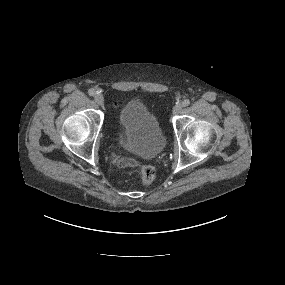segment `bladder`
<instances>
[{"mask_svg":"<svg viewBox=\"0 0 285 285\" xmlns=\"http://www.w3.org/2000/svg\"><path fill=\"white\" fill-rule=\"evenodd\" d=\"M120 145L142 157L158 155L164 148L166 138L158 119L140 100L129 101L118 116Z\"/></svg>","mask_w":285,"mask_h":285,"instance_id":"obj_1","label":"bladder"}]
</instances>
